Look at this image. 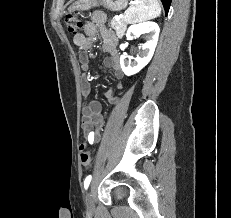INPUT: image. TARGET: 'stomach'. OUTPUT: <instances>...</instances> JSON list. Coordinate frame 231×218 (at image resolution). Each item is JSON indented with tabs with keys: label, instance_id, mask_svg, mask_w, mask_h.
I'll list each match as a JSON object with an SVG mask.
<instances>
[{
	"label": "stomach",
	"instance_id": "stomach-1",
	"mask_svg": "<svg viewBox=\"0 0 231 218\" xmlns=\"http://www.w3.org/2000/svg\"><path fill=\"white\" fill-rule=\"evenodd\" d=\"M128 0H77L72 5L73 10H88L91 7L103 6L110 11H121L127 7Z\"/></svg>",
	"mask_w": 231,
	"mask_h": 218
}]
</instances>
